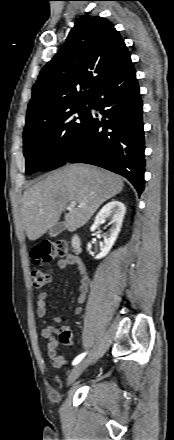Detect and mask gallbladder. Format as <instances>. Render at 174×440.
<instances>
[{"mask_svg": "<svg viewBox=\"0 0 174 440\" xmlns=\"http://www.w3.org/2000/svg\"><path fill=\"white\" fill-rule=\"evenodd\" d=\"M65 230L64 222H58L49 230L50 237H55Z\"/></svg>", "mask_w": 174, "mask_h": 440, "instance_id": "1", "label": "gallbladder"}]
</instances>
